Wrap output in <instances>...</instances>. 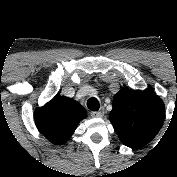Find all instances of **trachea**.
Segmentation results:
<instances>
[{"label":"trachea","mask_w":177,"mask_h":177,"mask_svg":"<svg viewBox=\"0 0 177 177\" xmlns=\"http://www.w3.org/2000/svg\"><path fill=\"white\" fill-rule=\"evenodd\" d=\"M87 107L91 110V111H98L100 108V104L97 98L95 97H91L88 99L87 101Z\"/></svg>","instance_id":"3493384b"}]
</instances>
